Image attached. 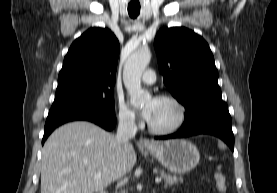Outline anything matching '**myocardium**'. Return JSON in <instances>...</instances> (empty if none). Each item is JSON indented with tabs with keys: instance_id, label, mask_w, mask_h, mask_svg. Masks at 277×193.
Returning a JSON list of instances; mask_svg holds the SVG:
<instances>
[{
	"instance_id": "1",
	"label": "myocardium",
	"mask_w": 277,
	"mask_h": 193,
	"mask_svg": "<svg viewBox=\"0 0 277 193\" xmlns=\"http://www.w3.org/2000/svg\"><path fill=\"white\" fill-rule=\"evenodd\" d=\"M157 99L169 101L176 107L177 112H178L177 120L173 125H171L167 128H156V127L152 126L149 122L147 123V127L151 133L156 134V135L172 134V133L176 132L177 130H179L185 123V120H186L185 106L178 98H176L175 96L170 95V94L159 95L157 97Z\"/></svg>"
}]
</instances>
